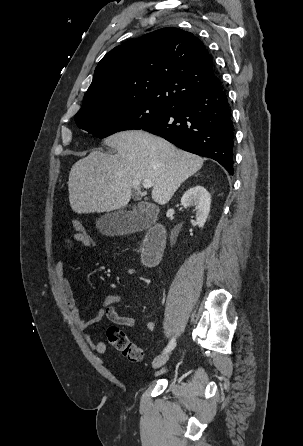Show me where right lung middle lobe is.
<instances>
[{
	"label": "right lung middle lobe",
	"instance_id": "right-lung-middle-lobe-1",
	"mask_svg": "<svg viewBox=\"0 0 303 446\" xmlns=\"http://www.w3.org/2000/svg\"><path fill=\"white\" fill-rule=\"evenodd\" d=\"M171 107L145 101L108 104L78 112L75 121L79 128L104 138L122 130L142 129L166 114Z\"/></svg>",
	"mask_w": 303,
	"mask_h": 446
}]
</instances>
